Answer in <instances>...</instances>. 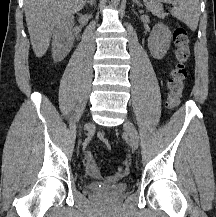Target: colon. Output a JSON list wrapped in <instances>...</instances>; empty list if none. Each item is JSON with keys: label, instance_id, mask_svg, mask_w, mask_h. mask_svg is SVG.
Segmentation results:
<instances>
[{"label": "colon", "instance_id": "obj_1", "mask_svg": "<svg viewBox=\"0 0 216 217\" xmlns=\"http://www.w3.org/2000/svg\"><path fill=\"white\" fill-rule=\"evenodd\" d=\"M173 40L175 45L176 64L171 70L168 82V105L176 107L182 97L185 81L187 79V62L190 57V38L187 30L184 27H177L173 33ZM98 141L108 147L110 140L104 131H99L97 134ZM117 176L124 174V169L119 167L117 169Z\"/></svg>", "mask_w": 216, "mask_h": 217}]
</instances>
